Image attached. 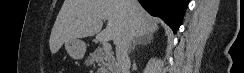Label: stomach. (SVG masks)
Returning <instances> with one entry per match:
<instances>
[{"instance_id": "obj_1", "label": "stomach", "mask_w": 244, "mask_h": 73, "mask_svg": "<svg viewBox=\"0 0 244 73\" xmlns=\"http://www.w3.org/2000/svg\"><path fill=\"white\" fill-rule=\"evenodd\" d=\"M65 48L74 59H82L86 52V44L79 39L65 42Z\"/></svg>"}]
</instances>
